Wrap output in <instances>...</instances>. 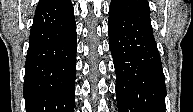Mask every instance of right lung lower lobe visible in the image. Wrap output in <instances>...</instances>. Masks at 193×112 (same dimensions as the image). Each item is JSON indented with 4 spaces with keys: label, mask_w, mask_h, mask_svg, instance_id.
<instances>
[{
    "label": "right lung lower lobe",
    "mask_w": 193,
    "mask_h": 112,
    "mask_svg": "<svg viewBox=\"0 0 193 112\" xmlns=\"http://www.w3.org/2000/svg\"><path fill=\"white\" fill-rule=\"evenodd\" d=\"M76 47L70 0L36 8L25 63L26 112H74Z\"/></svg>",
    "instance_id": "1"
}]
</instances>
